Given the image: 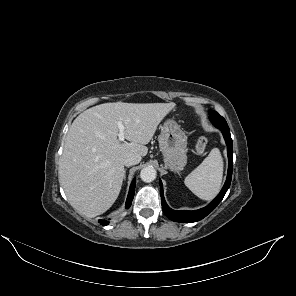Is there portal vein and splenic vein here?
Segmentation results:
<instances>
[{
    "label": "portal vein and splenic vein",
    "instance_id": "18ae733b",
    "mask_svg": "<svg viewBox=\"0 0 296 296\" xmlns=\"http://www.w3.org/2000/svg\"><path fill=\"white\" fill-rule=\"evenodd\" d=\"M117 127L119 129L118 137L119 141L123 142L125 139V127L124 124L121 121L117 122Z\"/></svg>",
    "mask_w": 296,
    "mask_h": 296
}]
</instances>
